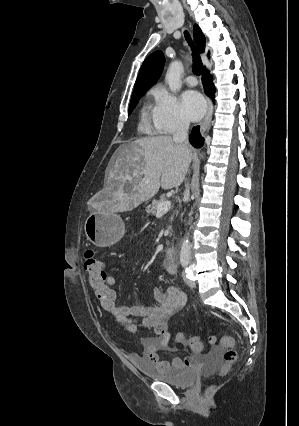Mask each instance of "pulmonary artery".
<instances>
[{
    "label": "pulmonary artery",
    "instance_id": "1",
    "mask_svg": "<svg viewBox=\"0 0 299 426\" xmlns=\"http://www.w3.org/2000/svg\"><path fill=\"white\" fill-rule=\"evenodd\" d=\"M187 85L189 86H196L197 85V79L194 75H189L185 79Z\"/></svg>",
    "mask_w": 299,
    "mask_h": 426
}]
</instances>
